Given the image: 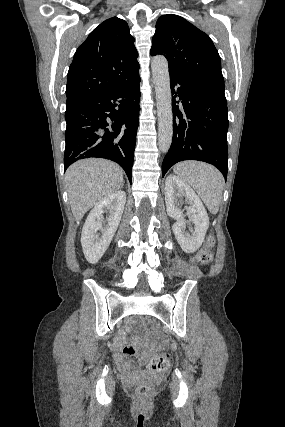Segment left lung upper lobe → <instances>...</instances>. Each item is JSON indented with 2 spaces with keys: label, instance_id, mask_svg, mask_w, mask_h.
<instances>
[{
  "label": "left lung upper lobe",
  "instance_id": "left-lung-upper-lobe-1",
  "mask_svg": "<svg viewBox=\"0 0 285 427\" xmlns=\"http://www.w3.org/2000/svg\"><path fill=\"white\" fill-rule=\"evenodd\" d=\"M164 55L170 77L224 91L218 51L207 34L184 18L167 14L156 23L151 55Z\"/></svg>",
  "mask_w": 285,
  "mask_h": 427
}]
</instances>
